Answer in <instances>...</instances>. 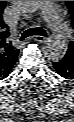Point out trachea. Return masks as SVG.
<instances>
[{"instance_id":"obj_1","label":"trachea","mask_w":74,"mask_h":122,"mask_svg":"<svg viewBox=\"0 0 74 122\" xmlns=\"http://www.w3.org/2000/svg\"><path fill=\"white\" fill-rule=\"evenodd\" d=\"M34 35H39V36H46V31L42 27H34L27 29L24 31L20 37V40H24L25 38L34 36Z\"/></svg>"}]
</instances>
